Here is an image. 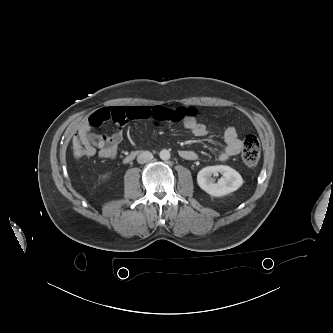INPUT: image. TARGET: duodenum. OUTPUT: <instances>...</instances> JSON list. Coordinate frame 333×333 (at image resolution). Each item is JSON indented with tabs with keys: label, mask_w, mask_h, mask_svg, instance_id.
<instances>
[{
	"label": "duodenum",
	"mask_w": 333,
	"mask_h": 333,
	"mask_svg": "<svg viewBox=\"0 0 333 333\" xmlns=\"http://www.w3.org/2000/svg\"><path fill=\"white\" fill-rule=\"evenodd\" d=\"M139 153H140V151H132L129 155H127L125 157L124 162L129 163V162L133 161Z\"/></svg>",
	"instance_id": "1"
}]
</instances>
